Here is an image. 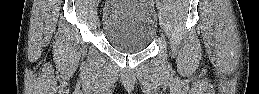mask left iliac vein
Segmentation results:
<instances>
[{
    "mask_svg": "<svg viewBox=\"0 0 259 94\" xmlns=\"http://www.w3.org/2000/svg\"><path fill=\"white\" fill-rule=\"evenodd\" d=\"M166 22H167L166 13L164 10H160L159 11V23L163 29L166 28Z\"/></svg>",
    "mask_w": 259,
    "mask_h": 94,
    "instance_id": "1",
    "label": "left iliac vein"
}]
</instances>
